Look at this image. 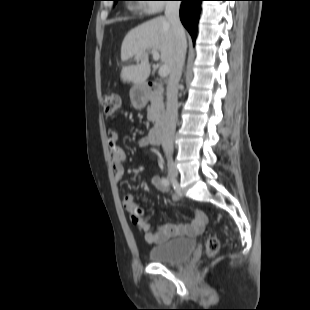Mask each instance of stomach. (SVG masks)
<instances>
[{
  "label": "stomach",
  "instance_id": "0dacf381",
  "mask_svg": "<svg viewBox=\"0 0 310 310\" xmlns=\"http://www.w3.org/2000/svg\"><path fill=\"white\" fill-rule=\"evenodd\" d=\"M130 99L135 107L141 108L147 101V93L142 85H135L130 90Z\"/></svg>",
  "mask_w": 310,
  "mask_h": 310
}]
</instances>
